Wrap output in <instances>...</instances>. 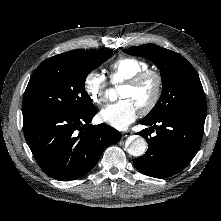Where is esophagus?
<instances>
[{
  "label": "esophagus",
  "mask_w": 221,
  "mask_h": 221,
  "mask_svg": "<svg viewBox=\"0 0 221 221\" xmlns=\"http://www.w3.org/2000/svg\"><path fill=\"white\" fill-rule=\"evenodd\" d=\"M132 135V132L131 131H124V132H122V136L123 137H129V136H131Z\"/></svg>",
  "instance_id": "34e87169"
}]
</instances>
